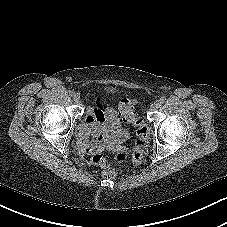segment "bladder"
Here are the masks:
<instances>
[{"label": "bladder", "mask_w": 227, "mask_h": 227, "mask_svg": "<svg viewBox=\"0 0 227 227\" xmlns=\"http://www.w3.org/2000/svg\"><path fill=\"white\" fill-rule=\"evenodd\" d=\"M112 136L118 141H124L129 138L130 132L119 124L110 128ZM109 131V130H108Z\"/></svg>", "instance_id": "31cf9c89"}]
</instances>
